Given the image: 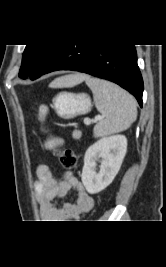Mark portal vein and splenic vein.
Masks as SVG:
<instances>
[{"mask_svg": "<svg viewBox=\"0 0 166 267\" xmlns=\"http://www.w3.org/2000/svg\"><path fill=\"white\" fill-rule=\"evenodd\" d=\"M102 118H103V116L99 115V116H96V117H95V120H100V119H102ZM84 123H85L86 125H90V124H91V119H89V118L85 119V120H84Z\"/></svg>", "mask_w": 166, "mask_h": 267, "instance_id": "18ae733b", "label": "portal vein and splenic vein"}]
</instances>
